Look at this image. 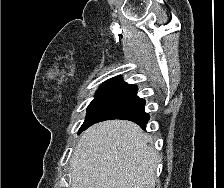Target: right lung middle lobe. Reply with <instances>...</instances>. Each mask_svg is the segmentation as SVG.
I'll use <instances>...</instances> for the list:
<instances>
[{"mask_svg": "<svg viewBox=\"0 0 224 188\" xmlns=\"http://www.w3.org/2000/svg\"><path fill=\"white\" fill-rule=\"evenodd\" d=\"M127 85V83H124L121 80H108L103 83L100 89L96 92L94 100L88 106L87 117L79 129V134L87 128L93 116Z\"/></svg>", "mask_w": 224, "mask_h": 188, "instance_id": "1", "label": "right lung middle lobe"}]
</instances>
